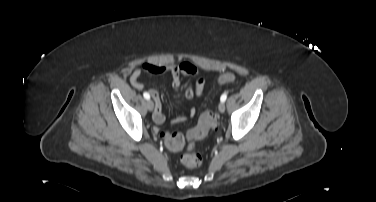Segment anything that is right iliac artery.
Returning <instances> with one entry per match:
<instances>
[{
    "instance_id": "82829eb1",
    "label": "right iliac artery",
    "mask_w": 376,
    "mask_h": 202,
    "mask_svg": "<svg viewBox=\"0 0 376 202\" xmlns=\"http://www.w3.org/2000/svg\"><path fill=\"white\" fill-rule=\"evenodd\" d=\"M143 96H144V98H145L146 100H149V99H150V95H149L148 92H144V93H143Z\"/></svg>"
}]
</instances>
